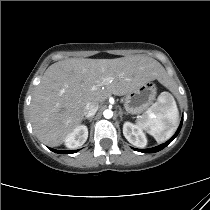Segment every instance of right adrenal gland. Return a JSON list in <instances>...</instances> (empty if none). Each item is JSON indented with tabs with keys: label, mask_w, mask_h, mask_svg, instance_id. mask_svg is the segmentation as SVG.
Here are the masks:
<instances>
[{
	"label": "right adrenal gland",
	"mask_w": 210,
	"mask_h": 210,
	"mask_svg": "<svg viewBox=\"0 0 210 210\" xmlns=\"http://www.w3.org/2000/svg\"><path fill=\"white\" fill-rule=\"evenodd\" d=\"M88 119L90 122L93 120V117H85L84 120Z\"/></svg>",
	"instance_id": "right-adrenal-gland-1"
}]
</instances>
